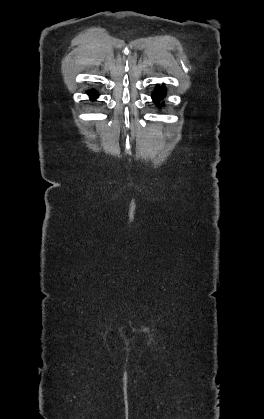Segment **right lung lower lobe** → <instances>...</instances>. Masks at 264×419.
Wrapping results in <instances>:
<instances>
[{
	"label": "right lung lower lobe",
	"instance_id": "1",
	"mask_svg": "<svg viewBox=\"0 0 264 419\" xmlns=\"http://www.w3.org/2000/svg\"><path fill=\"white\" fill-rule=\"evenodd\" d=\"M88 95L91 99H96L98 97V94L95 91H89Z\"/></svg>",
	"mask_w": 264,
	"mask_h": 419
}]
</instances>
